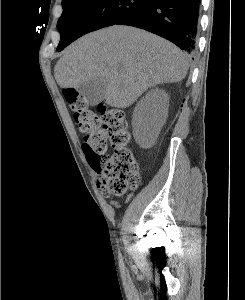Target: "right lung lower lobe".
Returning <instances> with one entry per match:
<instances>
[{"instance_id":"98d812e1","label":"right lung lower lobe","mask_w":245,"mask_h":300,"mask_svg":"<svg viewBox=\"0 0 245 300\" xmlns=\"http://www.w3.org/2000/svg\"><path fill=\"white\" fill-rule=\"evenodd\" d=\"M199 13L200 0H151L116 24L145 29L193 53Z\"/></svg>"}]
</instances>
